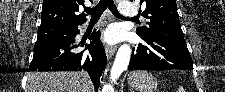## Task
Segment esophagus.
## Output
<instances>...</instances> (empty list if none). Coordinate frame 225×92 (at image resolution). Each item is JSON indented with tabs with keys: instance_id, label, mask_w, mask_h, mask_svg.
<instances>
[{
	"instance_id": "1",
	"label": "esophagus",
	"mask_w": 225,
	"mask_h": 92,
	"mask_svg": "<svg viewBox=\"0 0 225 92\" xmlns=\"http://www.w3.org/2000/svg\"><path fill=\"white\" fill-rule=\"evenodd\" d=\"M116 50H117V47L116 46H106L105 47V52H106V55L109 57V58H111L113 55H114V53L116 52Z\"/></svg>"
}]
</instances>
